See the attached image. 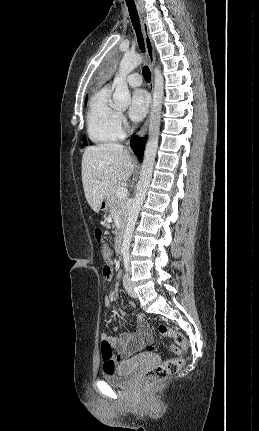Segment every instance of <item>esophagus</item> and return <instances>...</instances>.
<instances>
[{"mask_svg": "<svg viewBox=\"0 0 259 431\" xmlns=\"http://www.w3.org/2000/svg\"><path fill=\"white\" fill-rule=\"evenodd\" d=\"M138 10H139V16H140V20H141L142 31H143V35H144V39H145V45H146L147 55H148V59H149V63H150V69H151V81L149 83V89L151 91V94H153V90H154L153 69H154V66L156 63V53H155L153 40H152V37H151L150 32H149L148 23H147V20L145 18L143 9L141 7H139ZM148 126H149V114H148L143 126L139 130L137 136L143 137L147 133Z\"/></svg>", "mask_w": 259, "mask_h": 431, "instance_id": "obj_1", "label": "esophagus"}]
</instances>
